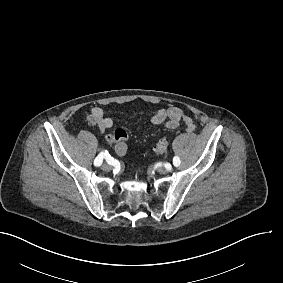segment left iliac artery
<instances>
[{
  "mask_svg": "<svg viewBox=\"0 0 283 283\" xmlns=\"http://www.w3.org/2000/svg\"><path fill=\"white\" fill-rule=\"evenodd\" d=\"M180 163H181V161H180L179 157L175 156V157L173 158V164H174V166L177 167V166L180 165Z\"/></svg>",
  "mask_w": 283,
  "mask_h": 283,
  "instance_id": "1",
  "label": "left iliac artery"
}]
</instances>
